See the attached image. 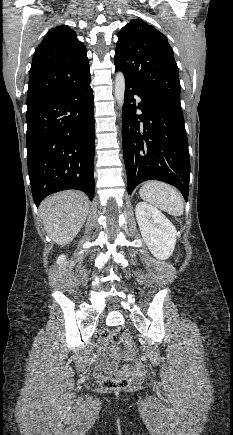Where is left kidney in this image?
Segmentation results:
<instances>
[{"mask_svg": "<svg viewBox=\"0 0 233 435\" xmlns=\"http://www.w3.org/2000/svg\"><path fill=\"white\" fill-rule=\"evenodd\" d=\"M136 220L143 240L158 259H168L175 248L177 231L161 211L146 202L135 208Z\"/></svg>", "mask_w": 233, "mask_h": 435, "instance_id": "1", "label": "left kidney"}]
</instances>
